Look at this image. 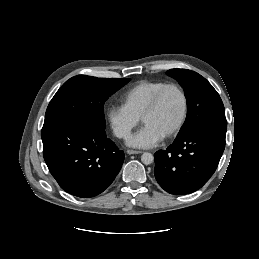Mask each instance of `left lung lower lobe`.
Instances as JSON below:
<instances>
[{
  "mask_svg": "<svg viewBox=\"0 0 259 259\" xmlns=\"http://www.w3.org/2000/svg\"><path fill=\"white\" fill-rule=\"evenodd\" d=\"M227 124L206 123L155 153V178L171 194L201 188L215 172L225 148Z\"/></svg>",
  "mask_w": 259,
  "mask_h": 259,
  "instance_id": "0a47b994",
  "label": "left lung lower lobe"
}]
</instances>
